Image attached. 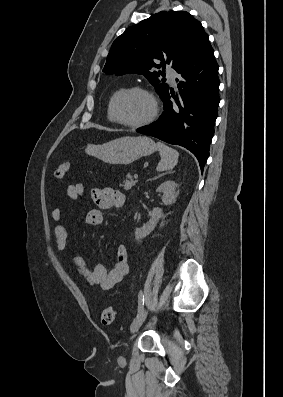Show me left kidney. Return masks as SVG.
I'll return each mask as SVG.
<instances>
[{
	"label": "left kidney",
	"mask_w": 283,
	"mask_h": 397,
	"mask_svg": "<svg viewBox=\"0 0 283 397\" xmlns=\"http://www.w3.org/2000/svg\"><path fill=\"white\" fill-rule=\"evenodd\" d=\"M177 184L174 181L168 180L163 182L158 188L157 192L162 193V201L164 205H171L175 203L177 198L176 188ZM163 216L161 208H153L149 221L143 225L141 229L135 230V239L140 240L148 236L156 227L160 218Z\"/></svg>",
	"instance_id": "5707ae66"
}]
</instances>
